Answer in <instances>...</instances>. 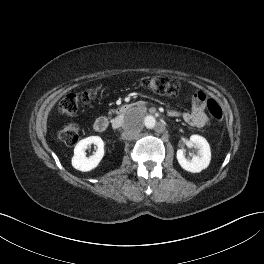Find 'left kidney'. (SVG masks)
Masks as SVG:
<instances>
[{"mask_svg":"<svg viewBox=\"0 0 264 264\" xmlns=\"http://www.w3.org/2000/svg\"><path fill=\"white\" fill-rule=\"evenodd\" d=\"M190 142L198 149L197 155H194L192 159H187L184 151L178 149L176 157L183 169L192 173H198L207 168L210 163V146L207 140L200 135H191Z\"/></svg>","mask_w":264,"mask_h":264,"instance_id":"5707ae66","label":"left kidney"}]
</instances>
